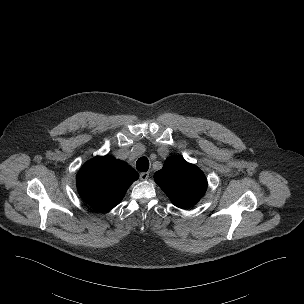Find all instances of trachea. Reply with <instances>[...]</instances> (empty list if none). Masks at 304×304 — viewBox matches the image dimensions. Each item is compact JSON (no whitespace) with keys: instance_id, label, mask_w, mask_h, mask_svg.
<instances>
[{"instance_id":"trachea-1","label":"trachea","mask_w":304,"mask_h":304,"mask_svg":"<svg viewBox=\"0 0 304 304\" xmlns=\"http://www.w3.org/2000/svg\"><path fill=\"white\" fill-rule=\"evenodd\" d=\"M136 167L141 172H146L149 169V161L146 157H140L136 162Z\"/></svg>"}]
</instances>
